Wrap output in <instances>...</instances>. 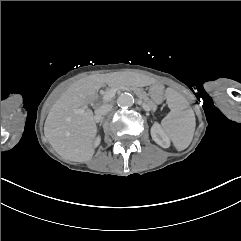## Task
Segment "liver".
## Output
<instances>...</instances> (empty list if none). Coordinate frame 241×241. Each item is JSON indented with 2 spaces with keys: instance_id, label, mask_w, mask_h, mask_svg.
I'll use <instances>...</instances> for the list:
<instances>
[{
  "instance_id": "obj_1",
  "label": "liver",
  "mask_w": 241,
  "mask_h": 241,
  "mask_svg": "<svg viewBox=\"0 0 241 241\" xmlns=\"http://www.w3.org/2000/svg\"><path fill=\"white\" fill-rule=\"evenodd\" d=\"M122 79L117 73L90 75L73 83L56 100L45 121L44 134L60 156L73 162H86L93 157L97 145L93 112L88 109L85 116H80L70 109L85 108L104 84L113 87Z\"/></svg>"
}]
</instances>
